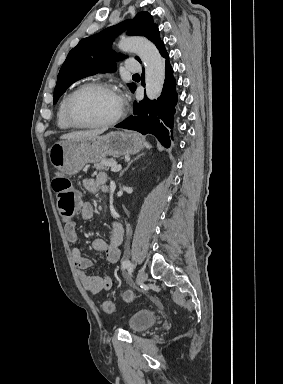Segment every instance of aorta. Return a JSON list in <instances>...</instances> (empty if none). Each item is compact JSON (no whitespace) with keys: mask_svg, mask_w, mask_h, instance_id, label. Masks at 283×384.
<instances>
[{"mask_svg":"<svg viewBox=\"0 0 283 384\" xmlns=\"http://www.w3.org/2000/svg\"><path fill=\"white\" fill-rule=\"evenodd\" d=\"M118 48L123 52L136 53L145 65L146 94L149 99H157L165 80V62L156 46L142 37H128L119 41Z\"/></svg>","mask_w":283,"mask_h":384,"instance_id":"762f6f07","label":"aorta"}]
</instances>
